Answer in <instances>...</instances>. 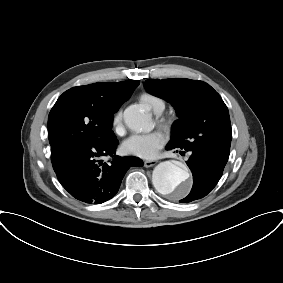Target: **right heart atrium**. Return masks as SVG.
<instances>
[{"label": "right heart atrium", "mask_w": 283, "mask_h": 283, "mask_svg": "<svg viewBox=\"0 0 283 283\" xmlns=\"http://www.w3.org/2000/svg\"><path fill=\"white\" fill-rule=\"evenodd\" d=\"M112 125L114 130L119 133L122 131L123 127V112L121 109L115 112L112 119Z\"/></svg>", "instance_id": "1"}]
</instances>
